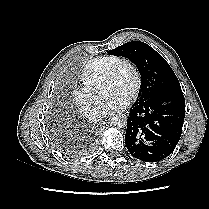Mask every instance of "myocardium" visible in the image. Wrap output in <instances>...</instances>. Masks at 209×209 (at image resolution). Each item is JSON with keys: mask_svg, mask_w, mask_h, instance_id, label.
Listing matches in <instances>:
<instances>
[{"mask_svg": "<svg viewBox=\"0 0 209 209\" xmlns=\"http://www.w3.org/2000/svg\"><path fill=\"white\" fill-rule=\"evenodd\" d=\"M123 66L129 67L133 73V76H134V82H133V85L131 87V90H130L129 96H128V100L132 101L133 99L136 98V96L138 95V92L140 90L141 75H140V72H139L137 66L131 60L125 59V58H120L114 64H112L104 76L103 84L105 85V84L113 81L116 78V76L118 75L119 70Z\"/></svg>", "mask_w": 209, "mask_h": 209, "instance_id": "obj_1", "label": "myocardium"}]
</instances>
